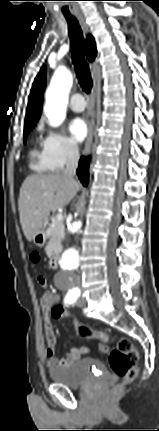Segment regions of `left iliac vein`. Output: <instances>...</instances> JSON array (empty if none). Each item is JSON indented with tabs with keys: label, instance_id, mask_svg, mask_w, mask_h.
I'll use <instances>...</instances> for the list:
<instances>
[{
	"label": "left iliac vein",
	"instance_id": "1",
	"mask_svg": "<svg viewBox=\"0 0 159 431\" xmlns=\"http://www.w3.org/2000/svg\"><path fill=\"white\" fill-rule=\"evenodd\" d=\"M85 305V299L83 296H81L78 301H77V306L78 307H83Z\"/></svg>",
	"mask_w": 159,
	"mask_h": 431
}]
</instances>
